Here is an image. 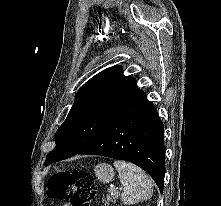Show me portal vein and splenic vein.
Returning a JSON list of instances; mask_svg holds the SVG:
<instances>
[{"mask_svg": "<svg viewBox=\"0 0 221 206\" xmlns=\"http://www.w3.org/2000/svg\"><path fill=\"white\" fill-rule=\"evenodd\" d=\"M113 191H115V188H114L113 186H111V187L109 188V192H110V193H113Z\"/></svg>", "mask_w": 221, "mask_h": 206, "instance_id": "1", "label": "portal vein and splenic vein"}]
</instances>
